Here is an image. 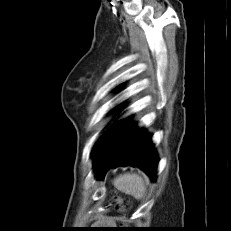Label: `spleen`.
Masks as SVG:
<instances>
[{"instance_id": "obj_1", "label": "spleen", "mask_w": 231, "mask_h": 231, "mask_svg": "<svg viewBox=\"0 0 231 231\" xmlns=\"http://www.w3.org/2000/svg\"><path fill=\"white\" fill-rule=\"evenodd\" d=\"M114 186L121 192L133 196L137 200L146 194L147 180L136 173H126L118 176L113 181Z\"/></svg>"}]
</instances>
